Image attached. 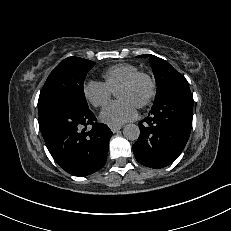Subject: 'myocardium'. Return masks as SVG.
<instances>
[{
    "label": "myocardium",
    "instance_id": "f54148a6",
    "mask_svg": "<svg viewBox=\"0 0 231 231\" xmlns=\"http://www.w3.org/2000/svg\"><path fill=\"white\" fill-rule=\"evenodd\" d=\"M141 80L147 81L149 90L145 99L137 106L139 109H143L151 105L156 97L157 84L154 77L151 74L147 72L139 71L133 74L132 76H130L129 78H127L125 81H123L117 88L119 89V88L132 87Z\"/></svg>",
    "mask_w": 231,
    "mask_h": 231
}]
</instances>
